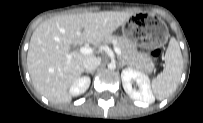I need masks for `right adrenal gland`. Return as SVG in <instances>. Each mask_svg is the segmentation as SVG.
<instances>
[{
    "instance_id": "1",
    "label": "right adrenal gland",
    "mask_w": 203,
    "mask_h": 123,
    "mask_svg": "<svg viewBox=\"0 0 203 123\" xmlns=\"http://www.w3.org/2000/svg\"><path fill=\"white\" fill-rule=\"evenodd\" d=\"M86 73L94 74V71H85Z\"/></svg>"
}]
</instances>
